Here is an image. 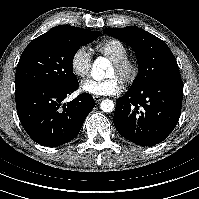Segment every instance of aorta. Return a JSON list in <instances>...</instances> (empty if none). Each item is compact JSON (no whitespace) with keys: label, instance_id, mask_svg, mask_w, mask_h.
Instances as JSON below:
<instances>
[{"label":"aorta","instance_id":"1","mask_svg":"<svg viewBox=\"0 0 199 199\" xmlns=\"http://www.w3.org/2000/svg\"><path fill=\"white\" fill-rule=\"evenodd\" d=\"M110 67V63L106 58H97L92 66V73L95 79L101 80L106 76V71ZM114 102L105 99L101 102L100 108L103 112H112L114 110Z\"/></svg>","mask_w":199,"mask_h":199}]
</instances>
